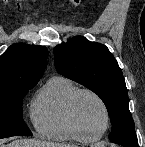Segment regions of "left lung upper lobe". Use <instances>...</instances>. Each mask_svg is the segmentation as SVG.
<instances>
[{"instance_id": "obj_1", "label": "left lung upper lobe", "mask_w": 145, "mask_h": 147, "mask_svg": "<svg viewBox=\"0 0 145 147\" xmlns=\"http://www.w3.org/2000/svg\"><path fill=\"white\" fill-rule=\"evenodd\" d=\"M58 73L84 85L104 102L112 124L109 140L138 147L122 71L105 45L77 36L54 48Z\"/></svg>"}]
</instances>
